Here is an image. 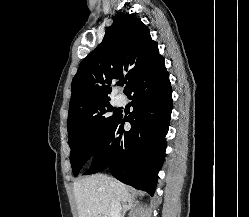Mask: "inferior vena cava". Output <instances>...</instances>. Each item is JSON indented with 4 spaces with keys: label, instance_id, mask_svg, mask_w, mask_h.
Masks as SVG:
<instances>
[{
    "label": "inferior vena cava",
    "instance_id": "obj_1",
    "mask_svg": "<svg viewBox=\"0 0 249 217\" xmlns=\"http://www.w3.org/2000/svg\"><path fill=\"white\" fill-rule=\"evenodd\" d=\"M122 207L119 200L113 198L111 202V217H122Z\"/></svg>",
    "mask_w": 249,
    "mask_h": 217
}]
</instances>
